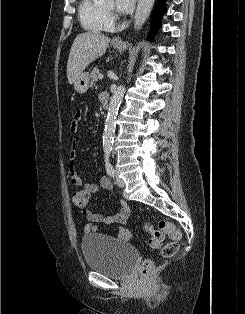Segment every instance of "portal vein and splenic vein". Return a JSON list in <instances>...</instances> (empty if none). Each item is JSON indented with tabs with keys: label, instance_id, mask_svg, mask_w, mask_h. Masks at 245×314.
<instances>
[{
	"label": "portal vein and splenic vein",
	"instance_id": "obj_1",
	"mask_svg": "<svg viewBox=\"0 0 245 314\" xmlns=\"http://www.w3.org/2000/svg\"><path fill=\"white\" fill-rule=\"evenodd\" d=\"M104 75L103 74H99L98 78L101 80L103 79Z\"/></svg>",
	"mask_w": 245,
	"mask_h": 314
}]
</instances>
